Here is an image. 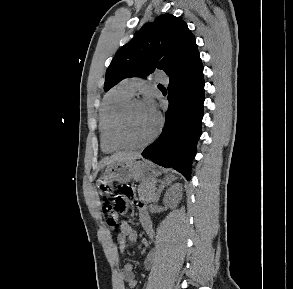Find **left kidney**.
<instances>
[{
  "label": "left kidney",
  "mask_w": 293,
  "mask_h": 289,
  "mask_svg": "<svg viewBox=\"0 0 293 289\" xmlns=\"http://www.w3.org/2000/svg\"><path fill=\"white\" fill-rule=\"evenodd\" d=\"M181 188V185L178 183V184H175V185H173L167 192H166V194H165V197H164V203L166 204V205H168V206H176L177 205V203H178V197H179V195L178 194H176L175 195V197H174V199L173 200H168V196H169V194H171L172 192L174 193V192H176V191H179V189Z\"/></svg>",
  "instance_id": "5707ae66"
}]
</instances>
